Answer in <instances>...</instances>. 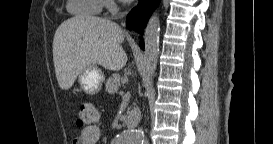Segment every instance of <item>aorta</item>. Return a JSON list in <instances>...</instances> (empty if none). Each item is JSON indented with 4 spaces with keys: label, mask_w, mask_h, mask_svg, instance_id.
<instances>
[{
    "label": "aorta",
    "mask_w": 273,
    "mask_h": 144,
    "mask_svg": "<svg viewBox=\"0 0 273 144\" xmlns=\"http://www.w3.org/2000/svg\"><path fill=\"white\" fill-rule=\"evenodd\" d=\"M159 33L160 21L157 13H154L148 21L144 32V58L146 64V78L154 76L158 54H159ZM144 132L138 128L129 132L121 133L118 138V144H141L143 142Z\"/></svg>",
    "instance_id": "obj_1"
}]
</instances>
